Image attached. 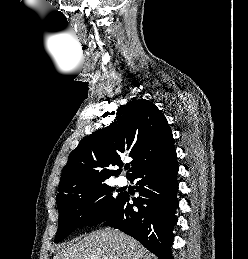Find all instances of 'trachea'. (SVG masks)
Listing matches in <instances>:
<instances>
[{"instance_id":"1","label":"trachea","mask_w":248,"mask_h":259,"mask_svg":"<svg viewBox=\"0 0 248 259\" xmlns=\"http://www.w3.org/2000/svg\"><path fill=\"white\" fill-rule=\"evenodd\" d=\"M129 168H130V166H126V167H125L126 170L129 169Z\"/></svg>"}]
</instances>
